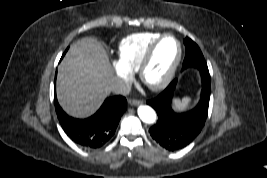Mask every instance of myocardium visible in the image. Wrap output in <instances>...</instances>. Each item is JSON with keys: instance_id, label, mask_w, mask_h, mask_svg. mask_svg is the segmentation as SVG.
I'll return each mask as SVG.
<instances>
[{"instance_id": "f54148a6", "label": "myocardium", "mask_w": 267, "mask_h": 178, "mask_svg": "<svg viewBox=\"0 0 267 178\" xmlns=\"http://www.w3.org/2000/svg\"><path fill=\"white\" fill-rule=\"evenodd\" d=\"M166 38H173L178 45V53H177L176 59L174 63L172 64L170 70L166 74V76L160 82L156 84H149L145 80V71L149 63L151 62L157 47ZM182 56H183V47H182L180 40L173 34H163L149 46V48L147 49V51L145 52L144 56L142 57L139 63L137 71H138V76L141 82L152 91H159V90L164 89L170 84V82L174 78L176 71L181 63Z\"/></svg>"}]
</instances>
